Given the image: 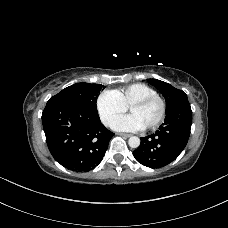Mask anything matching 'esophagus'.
<instances>
[{"instance_id": "esophagus-1", "label": "esophagus", "mask_w": 228, "mask_h": 228, "mask_svg": "<svg viewBox=\"0 0 228 228\" xmlns=\"http://www.w3.org/2000/svg\"><path fill=\"white\" fill-rule=\"evenodd\" d=\"M117 135L122 136V137H126V138L131 136V134H127V133H117Z\"/></svg>"}]
</instances>
